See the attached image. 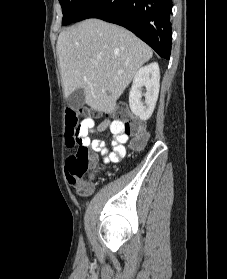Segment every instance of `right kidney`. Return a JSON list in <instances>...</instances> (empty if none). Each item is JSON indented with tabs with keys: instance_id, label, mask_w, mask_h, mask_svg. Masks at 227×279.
Wrapping results in <instances>:
<instances>
[{
	"instance_id": "right-kidney-1",
	"label": "right kidney",
	"mask_w": 227,
	"mask_h": 279,
	"mask_svg": "<svg viewBox=\"0 0 227 279\" xmlns=\"http://www.w3.org/2000/svg\"><path fill=\"white\" fill-rule=\"evenodd\" d=\"M160 71L158 63L153 62L141 67L134 76L131 90L129 92V106L133 114L142 120H148L155 108L159 93ZM146 93L142 94V88ZM144 95V102L141 101Z\"/></svg>"
}]
</instances>
